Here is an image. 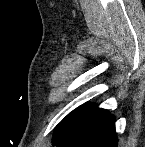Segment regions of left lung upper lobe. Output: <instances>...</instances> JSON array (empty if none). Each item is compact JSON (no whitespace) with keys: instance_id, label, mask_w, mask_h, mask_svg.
Instances as JSON below:
<instances>
[{"instance_id":"5c2ea615","label":"left lung upper lobe","mask_w":145,"mask_h":147,"mask_svg":"<svg viewBox=\"0 0 145 147\" xmlns=\"http://www.w3.org/2000/svg\"><path fill=\"white\" fill-rule=\"evenodd\" d=\"M76 110L68 114L57 126L55 130V136L54 141L59 140V138L62 136L66 128L68 127L70 121L72 120Z\"/></svg>"}]
</instances>
